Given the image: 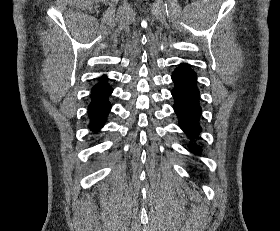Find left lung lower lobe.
Listing matches in <instances>:
<instances>
[{"label":"left lung lower lobe","mask_w":280,"mask_h":231,"mask_svg":"<svg viewBox=\"0 0 280 231\" xmlns=\"http://www.w3.org/2000/svg\"><path fill=\"white\" fill-rule=\"evenodd\" d=\"M175 87L172 90L174 97V110L178 116L180 127L190 138H196L201 131L199 118L201 107L199 105V90L196 85V74L190 68L178 67L172 74ZM195 154H200V147L190 144Z\"/></svg>","instance_id":"0a47b994"}]
</instances>
